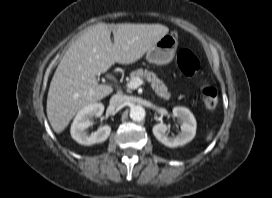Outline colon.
Masks as SVG:
<instances>
[{
  "label": "colon",
  "mask_w": 272,
  "mask_h": 198,
  "mask_svg": "<svg viewBox=\"0 0 272 198\" xmlns=\"http://www.w3.org/2000/svg\"><path fill=\"white\" fill-rule=\"evenodd\" d=\"M177 64L180 70L188 76L196 74L200 63L195 54L188 49H181L177 54ZM201 100L207 109H213L218 102L217 91L212 86L203 87L200 91Z\"/></svg>",
  "instance_id": "obj_1"
}]
</instances>
